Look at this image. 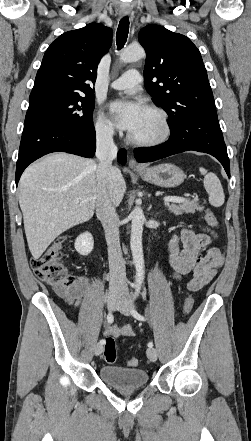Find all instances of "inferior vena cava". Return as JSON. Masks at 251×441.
I'll list each match as a JSON object with an SVG mask.
<instances>
[{"instance_id": "602c4592", "label": "inferior vena cava", "mask_w": 251, "mask_h": 441, "mask_svg": "<svg viewBox=\"0 0 251 441\" xmlns=\"http://www.w3.org/2000/svg\"><path fill=\"white\" fill-rule=\"evenodd\" d=\"M97 199L96 215L101 221L108 246L110 270L109 292L121 293L126 290L125 263L122 256L118 216L115 210V197L110 191L112 182V161L117 156V147L113 141V130L103 129L97 132Z\"/></svg>"}]
</instances>
